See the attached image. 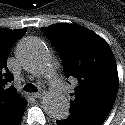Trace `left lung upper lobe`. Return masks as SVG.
<instances>
[{"instance_id":"5c2ea615","label":"left lung upper lobe","mask_w":125,"mask_h":125,"mask_svg":"<svg viewBox=\"0 0 125 125\" xmlns=\"http://www.w3.org/2000/svg\"><path fill=\"white\" fill-rule=\"evenodd\" d=\"M41 30L57 48L65 77L78 80L70 114L103 123L119 86L117 65L109 45L94 32L75 24H53Z\"/></svg>"}]
</instances>
